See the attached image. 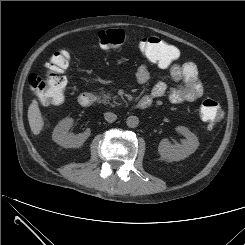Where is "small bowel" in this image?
Returning <instances> with one entry per match:
<instances>
[{
	"label": "small bowel",
	"instance_id": "c3829d8e",
	"mask_svg": "<svg viewBox=\"0 0 245 245\" xmlns=\"http://www.w3.org/2000/svg\"><path fill=\"white\" fill-rule=\"evenodd\" d=\"M169 73L175 86L169 87L165 82H157L151 91L145 95L152 99L166 96L173 104H183L199 99L203 94V86L199 78L197 66L192 62L173 64ZM139 84H147L150 80V71L147 65L142 64L136 72Z\"/></svg>",
	"mask_w": 245,
	"mask_h": 245
}]
</instances>
